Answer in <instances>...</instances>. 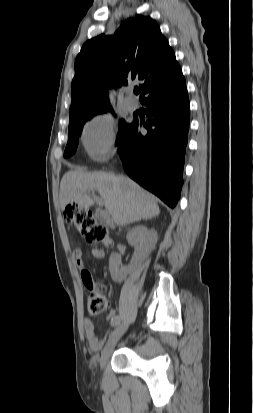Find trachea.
<instances>
[{
  "instance_id": "3493384b",
  "label": "trachea",
  "mask_w": 253,
  "mask_h": 413,
  "mask_svg": "<svg viewBox=\"0 0 253 413\" xmlns=\"http://www.w3.org/2000/svg\"><path fill=\"white\" fill-rule=\"evenodd\" d=\"M134 93H135V94H138V93H139V90H138V89H135V90H134Z\"/></svg>"
}]
</instances>
